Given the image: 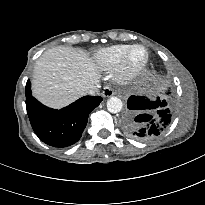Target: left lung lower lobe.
Masks as SVG:
<instances>
[{"mask_svg":"<svg viewBox=\"0 0 205 205\" xmlns=\"http://www.w3.org/2000/svg\"><path fill=\"white\" fill-rule=\"evenodd\" d=\"M127 106L130 111L122 122V128L138 141H152L161 136L174 114L171 103L165 99L157 98L155 102H150L142 96H131Z\"/></svg>","mask_w":205,"mask_h":205,"instance_id":"0a47b994","label":"left lung lower lobe"}]
</instances>
